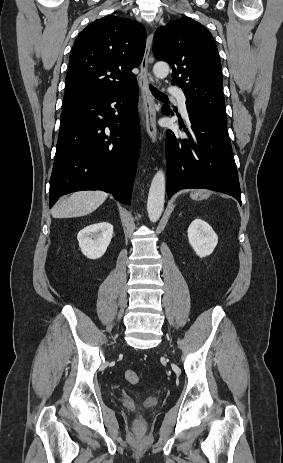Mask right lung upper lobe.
<instances>
[{"label": "right lung upper lobe", "instance_id": "cb5924a9", "mask_svg": "<svg viewBox=\"0 0 283 463\" xmlns=\"http://www.w3.org/2000/svg\"><path fill=\"white\" fill-rule=\"evenodd\" d=\"M145 39V27L130 19L106 16L88 25L73 45L62 112L137 83L132 69L142 61Z\"/></svg>", "mask_w": 283, "mask_h": 463}]
</instances>
